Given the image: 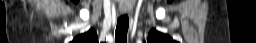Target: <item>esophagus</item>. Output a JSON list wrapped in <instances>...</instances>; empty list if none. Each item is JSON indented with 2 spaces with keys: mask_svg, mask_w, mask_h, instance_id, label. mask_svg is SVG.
I'll list each match as a JSON object with an SVG mask.
<instances>
[{
  "mask_svg": "<svg viewBox=\"0 0 256 43\" xmlns=\"http://www.w3.org/2000/svg\"><path fill=\"white\" fill-rule=\"evenodd\" d=\"M121 14H127L128 10L127 9H120Z\"/></svg>",
  "mask_w": 256,
  "mask_h": 43,
  "instance_id": "34e87169",
  "label": "esophagus"
}]
</instances>
